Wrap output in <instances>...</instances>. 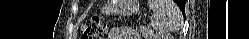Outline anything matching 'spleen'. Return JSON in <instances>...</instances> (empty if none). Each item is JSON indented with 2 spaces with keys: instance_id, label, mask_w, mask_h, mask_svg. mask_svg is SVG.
<instances>
[{
  "instance_id": "spleen-1",
  "label": "spleen",
  "mask_w": 249,
  "mask_h": 39,
  "mask_svg": "<svg viewBox=\"0 0 249 39\" xmlns=\"http://www.w3.org/2000/svg\"><path fill=\"white\" fill-rule=\"evenodd\" d=\"M149 6L153 11L151 25L156 30L157 39L173 29V24H179L181 13L177 6L171 7L170 0H149ZM163 39V38H162Z\"/></svg>"
}]
</instances>
